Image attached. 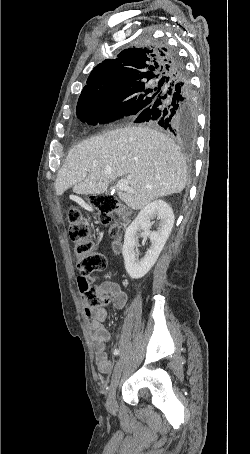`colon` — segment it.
Masks as SVG:
<instances>
[{"label": "colon", "mask_w": 250, "mask_h": 454, "mask_svg": "<svg viewBox=\"0 0 250 454\" xmlns=\"http://www.w3.org/2000/svg\"><path fill=\"white\" fill-rule=\"evenodd\" d=\"M91 203L99 211L100 221L109 224L112 221L111 214L117 209V200L109 194H98L91 198ZM69 236L74 245L76 265L82 276H87L96 271H104L107 268L106 257L98 251L97 245L88 224L82 217L81 210L72 206L68 211ZM111 234H117V228L111 229ZM86 304L91 309H99L106 303L107 298L100 297L94 287L89 286L86 291Z\"/></svg>", "instance_id": "obj_1"}]
</instances>
